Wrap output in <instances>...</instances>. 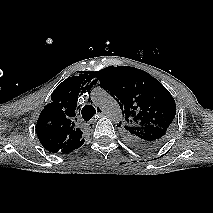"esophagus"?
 <instances>
[{
  "instance_id": "esophagus-1",
  "label": "esophagus",
  "mask_w": 213,
  "mask_h": 213,
  "mask_svg": "<svg viewBox=\"0 0 213 213\" xmlns=\"http://www.w3.org/2000/svg\"><path fill=\"white\" fill-rule=\"evenodd\" d=\"M97 110H98V112H97L96 116L94 117V119H92L90 121L89 125L93 126V124L96 122L97 118H99V117L104 115V112H103V110L100 107H98Z\"/></svg>"
}]
</instances>
